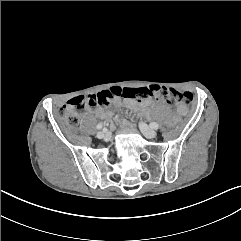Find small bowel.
Here are the masks:
<instances>
[{
  "label": "small bowel",
  "instance_id": "obj_1",
  "mask_svg": "<svg viewBox=\"0 0 241 241\" xmlns=\"http://www.w3.org/2000/svg\"><path fill=\"white\" fill-rule=\"evenodd\" d=\"M113 100V99H112ZM112 100L110 102H112ZM109 102V103H110ZM108 103V104H109ZM152 103V100L150 99H146V100H143V101H134L132 99H127L126 100V104L130 107H134V108H142V109H146L150 104ZM178 111L179 113H184L185 112V108L183 106H179L178 107ZM95 113L102 117V118H107L109 116V113L107 111H105L103 108L101 107H97L95 109Z\"/></svg>",
  "mask_w": 241,
  "mask_h": 241
}]
</instances>
